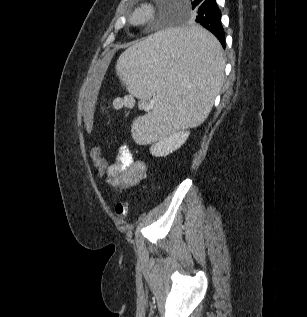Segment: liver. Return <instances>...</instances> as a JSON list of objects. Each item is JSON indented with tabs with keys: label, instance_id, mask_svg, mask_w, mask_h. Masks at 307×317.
<instances>
[{
	"label": "liver",
	"instance_id": "liver-1",
	"mask_svg": "<svg viewBox=\"0 0 307 317\" xmlns=\"http://www.w3.org/2000/svg\"><path fill=\"white\" fill-rule=\"evenodd\" d=\"M113 54L115 51L111 49L109 51ZM112 61L111 55H104L101 63L95 67L94 74H90L89 82H87V94L83 106V119H85V125L88 127L92 124V119H94V108L99 99L100 89L103 88L102 79L105 77L106 71L110 62Z\"/></svg>",
	"mask_w": 307,
	"mask_h": 317
}]
</instances>
